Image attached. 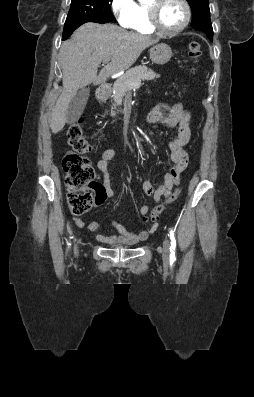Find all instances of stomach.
<instances>
[{
  "label": "stomach",
  "instance_id": "stomach-1",
  "mask_svg": "<svg viewBox=\"0 0 254 397\" xmlns=\"http://www.w3.org/2000/svg\"><path fill=\"white\" fill-rule=\"evenodd\" d=\"M149 54L152 62L158 65H163L172 57V50L167 44L160 43L151 47Z\"/></svg>",
  "mask_w": 254,
  "mask_h": 397
}]
</instances>
